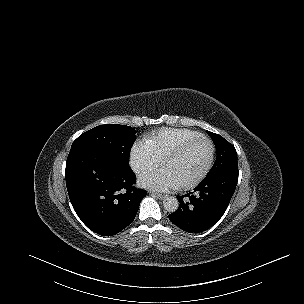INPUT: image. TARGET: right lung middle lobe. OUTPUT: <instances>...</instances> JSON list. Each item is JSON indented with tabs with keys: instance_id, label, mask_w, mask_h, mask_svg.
<instances>
[{
	"instance_id": "obj_1",
	"label": "right lung middle lobe",
	"mask_w": 304,
	"mask_h": 304,
	"mask_svg": "<svg viewBox=\"0 0 304 304\" xmlns=\"http://www.w3.org/2000/svg\"><path fill=\"white\" fill-rule=\"evenodd\" d=\"M136 131L126 125H99L81 134L72 144L71 150L90 147L109 152L117 168H129L130 150L135 142Z\"/></svg>"
}]
</instances>
